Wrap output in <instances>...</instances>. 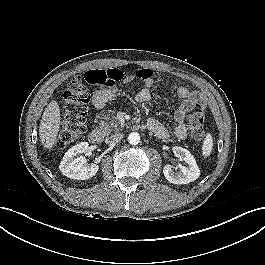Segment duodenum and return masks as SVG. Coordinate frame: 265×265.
<instances>
[{
	"label": "duodenum",
	"mask_w": 265,
	"mask_h": 265,
	"mask_svg": "<svg viewBox=\"0 0 265 265\" xmlns=\"http://www.w3.org/2000/svg\"><path fill=\"white\" fill-rule=\"evenodd\" d=\"M136 128L141 129L142 125H136ZM88 139L93 144H100L103 140L101 133L97 130L90 131L88 134Z\"/></svg>",
	"instance_id": "410a0bca"
}]
</instances>
